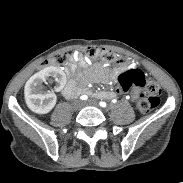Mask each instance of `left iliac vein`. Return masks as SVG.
Here are the masks:
<instances>
[{"instance_id":"4c4485c4","label":"left iliac vein","mask_w":183,"mask_h":183,"mask_svg":"<svg viewBox=\"0 0 183 183\" xmlns=\"http://www.w3.org/2000/svg\"><path fill=\"white\" fill-rule=\"evenodd\" d=\"M85 105L98 106L97 102H95L93 100H89V101L85 102Z\"/></svg>"}]
</instances>
